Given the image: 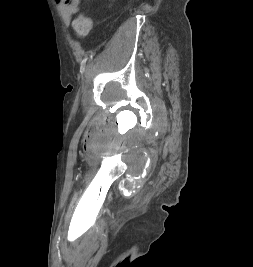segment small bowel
I'll return each instance as SVG.
<instances>
[{
  "label": "small bowel",
  "instance_id": "c3829d8e",
  "mask_svg": "<svg viewBox=\"0 0 253 267\" xmlns=\"http://www.w3.org/2000/svg\"><path fill=\"white\" fill-rule=\"evenodd\" d=\"M57 9L66 25L70 24L72 16L79 12L81 0H54Z\"/></svg>",
  "mask_w": 253,
  "mask_h": 267
}]
</instances>
